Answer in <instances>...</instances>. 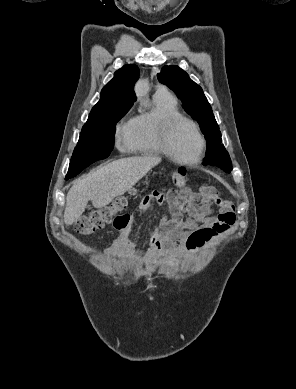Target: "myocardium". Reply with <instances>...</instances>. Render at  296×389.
<instances>
[{"instance_id": "1", "label": "myocardium", "mask_w": 296, "mask_h": 389, "mask_svg": "<svg viewBox=\"0 0 296 389\" xmlns=\"http://www.w3.org/2000/svg\"><path fill=\"white\" fill-rule=\"evenodd\" d=\"M181 122H186V123L190 124L194 128V130L198 136V139L200 142V147H199L198 155L195 159H192V160L181 159V158L177 157L172 150V147H171L172 132H173L174 128L176 127V125L181 123ZM159 142H160L161 149L166 156H168L173 161L180 163V164H184V165H194V164L199 163L202 160L204 153H205V150H206V139H205L199 125L193 119L186 117L184 115H181V114L168 116L162 121L161 126H160V130H159Z\"/></svg>"}]
</instances>
